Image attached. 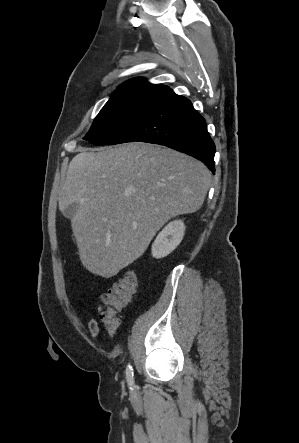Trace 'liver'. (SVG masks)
Masks as SVG:
<instances>
[{
	"mask_svg": "<svg viewBox=\"0 0 299 443\" xmlns=\"http://www.w3.org/2000/svg\"><path fill=\"white\" fill-rule=\"evenodd\" d=\"M211 184L201 161L141 142L83 150L70 162L59 209L71 218L78 254L91 273L112 277L138 259L171 218L198 211Z\"/></svg>",
	"mask_w": 299,
	"mask_h": 443,
	"instance_id": "1",
	"label": "liver"
}]
</instances>
